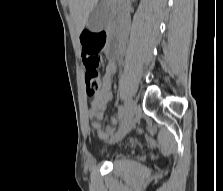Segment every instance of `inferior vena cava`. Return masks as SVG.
<instances>
[{"mask_svg":"<svg viewBox=\"0 0 223 191\" xmlns=\"http://www.w3.org/2000/svg\"><path fill=\"white\" fill-rule=\"evenodd\" d=\"M117 6L119 10V20L123 30L122 39H126V35L130 28V0H118Z\"/></svg>","mask_w":223,"mask_h":191,"instance_id":"inferior-vena-cava-1","label":"inferior vena cava"}]
</instances>
